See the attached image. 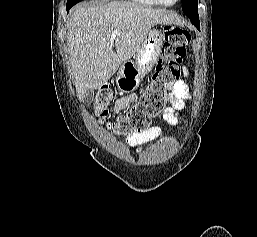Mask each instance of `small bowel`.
I'll return each instance as SVG.
<instances>
[{
	"label": "small bowel",
	"mask_w": 257,
	"mask_h": 237,
	"mask_svg": "<svg viewBox=\"0 0 257 237\" xmlns=\"http://www.w3.org/2000/svg\"><path fill=\"white\" fill-rule=\"evenodd\" d=\"M189 75V71H185ZM189 90L187 84L179 80L172 86L170 93L167 95V102L170 104L162 113V119L168 124L176 126L179 124V112L184 109L185 101L189 99ZM137 94H131L124 97H119L113 107L115 114L126 108L131 103L137 100ZM161 127L155 125L147 128L146 130L135 133L128 137L127 144L131 147H138L146 142L158 138L161 134Z\"/></svg>",
	"instance_id": "1"
}]
</instances>
